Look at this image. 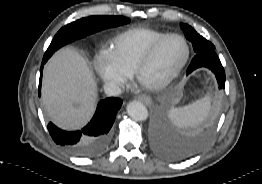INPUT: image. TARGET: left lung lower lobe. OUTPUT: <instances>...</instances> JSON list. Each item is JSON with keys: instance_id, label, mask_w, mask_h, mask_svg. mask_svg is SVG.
<instances>
[{"instance_id": "1", "label": "left lung lower lobe", "mask_w": 262, "mask_h": 184, "mask_svg": "<svg viewBox=\"0 0 262 184\" xmlns=\"http://www.w3.org/2000/svg\"><path fill=\"white\" fill-rule=\"evenodd\" d=\"M200 67L210 69L217 78L219 89L225 88L224 68L215 50L196 53L187 72L190 74ZM148 131L152 150L159 157L168 161H179L192 157L200 152L210 139V134L206 132L187 137L177 135L159 110L153 112Z\"/></svg>"}]
</instances>
